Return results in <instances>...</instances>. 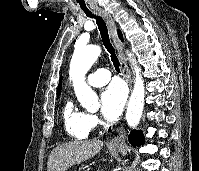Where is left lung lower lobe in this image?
Instances as JSON below:
<instances>
[{
	"label": "left lung lower lobe",
	"mask_w": 199,
	"mask_h": 171,
	"mask_svg": "<svg viewBox=\"0 0 199 171\" xmlns=\"http://www.w3.org/2000/svg\"><path fill=\"white\" fill-rule=\"evenodd\" d=\"M129 142L134 146L140 147L144 144V136L142 131H132L129 135Z\"/></svg>",
	"instance_id": "0a47b994"
}]
</instances>
